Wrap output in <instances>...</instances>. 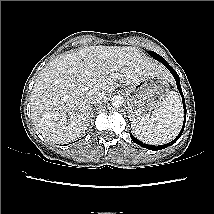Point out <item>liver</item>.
<instances>
[{
  "label": "liver",
  "mask_w": 214,
  "mask_h": 214,
  "mask_svg": "<svg viewBox=\"0 0 214 214\" xmlns=\"http://www.w3.org/2000/svg\"><path fill=\"white\" fill-rule=\"evenodd\" d=\"M167 72L141 50L130 46H88L50 61L40 72L31 96V116L47 140L65 144L88 129L89 92L110 93L117 82L131 84Z\"/></svg>",
  "instance_id": "liver-1"
}]
</instances>
